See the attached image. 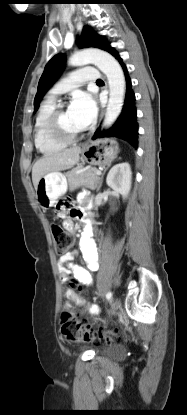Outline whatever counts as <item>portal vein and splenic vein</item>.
<instances>
[{
	"label": "portal vein and splenic vein",
	"instance_id": "18ae733b",
	"mask_svg": "<svg viewBox=\"0 0 187 415\" xmlns=\"http://www.w3.org/2000/svg\"><path fill=\"white\" fill-rule=\"evenodd\" d=\"M95 173H96L97 175H101V171H99V170H96V171H95Z\"/></svg>",
	"mask_w": 187,
	"mask_h": 415
}]
</instances>
